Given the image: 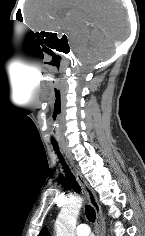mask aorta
I'll return each mask as SVG.
<instances>
[{
	"label": "aorta",
	"mask_w": 145,
	"mask_h": 236,
	"mask_svg": "<svg viewBox=\"0 0 145 236\" xmlns=\"http://www.w3.org/2000/svg\"><path fill=\"white\" fill-rule=\"evenodd\" d=\"M82 206V199L74 197L60 210L55 223L56 236H75L77 217Z\"/></svg>",
	"instance_id": "aorta-1"
}]
</instances>
